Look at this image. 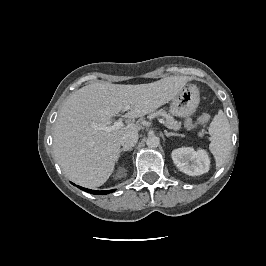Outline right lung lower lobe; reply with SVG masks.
Segmentation results:
<instances>
[{
    "label": "right lung lower lobe",
    "instance_id": "right-lung-lower-lobe-1",
    "mask_svg": "<svg viewBox=\"0 0 266 266\" xmlns=\"http://www.w3.org/2000/svg\"><path fill=\"white\" fill-rule=\"evenodd\" d=\"M72 184H73V183H72ZM73 185H75V184H73ZM78 188H80V189H82V190H84V191H86V192H89V193H91V194H96V195H104V194H108V193H110V192H113V191H114V190H108V191H97V190L86 189V188L79 187V186H78Z\"/></svg>",
    "mask_w": 266,
    "mask_h": 266
}]
</instances>
